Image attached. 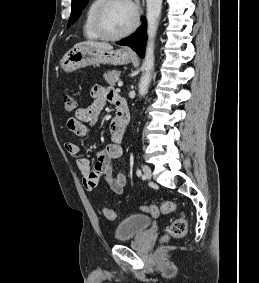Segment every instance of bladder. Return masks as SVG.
Returning a JSON list of instances; mask_svg holds the SVG:
<instances>
[{
	"label": "bladder",
	"instance_id": "31cf9c89",
	"mask_svg": "<svg viewBox=\"0 0 259 283\" xmlns=\"http://www.w3.org/2000/svg\"><path fill=\"white\" fill-rule=\"evenodd\" d=\"M151 224L152 219L146 215H130L116 226L114 238L116 241L132 239L147 230Z\"/></svg>",
	"mask_w": 259,
	"mask_h": 283
}]
</instances>
